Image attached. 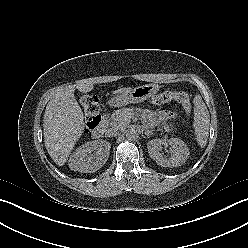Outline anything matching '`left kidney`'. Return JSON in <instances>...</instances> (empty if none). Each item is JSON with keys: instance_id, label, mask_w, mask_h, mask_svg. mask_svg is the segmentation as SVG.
Segmentation results:
<instances>
[{"instance_id": "obj_1", "label": "left kidney", "mask_w": 248, "mask_h": 248, "mask_svg": "<svg viewBox=\"0 0 248 248\" xmlns=\"http://www.w3.org/2000/svg\"><path fill=\"white\" fill-rule=\"evenodd\" d=\"M169 145L173 148V154L166 158L162 155V146ZM150 157L162 167H177L185 163L189 158L187 145L179 138L153 139L147 143Z\"/></svg>"}]
</instances>
